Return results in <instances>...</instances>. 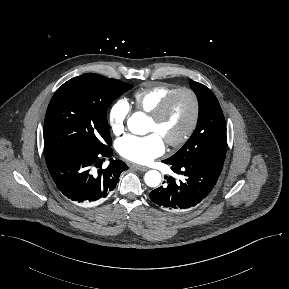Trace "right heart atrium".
I'll use <instances>...</instances> for the list:
<instances>
[{"label":"right heart atrium","mask_w":289,"mask_h":289,"mask_svg":"<svg viewBox=\"0 0 289 289\" xmlns=\"http://www.w3.org/2000/svg\"><path fill=\"white\" fill-rule=\"evenodd\" d=\"M130 112L131 106L129 102L124 98L116 100L111 105L108 113V119L111 131L114 135H120L124 132L126 121Z\"/></svg>","instance_id":"right-heart-atrium-1"}]
</instances>
